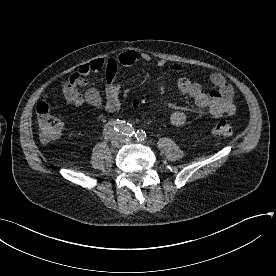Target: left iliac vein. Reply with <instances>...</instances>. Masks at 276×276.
<instances>
[{"instance_id":"obj_1","label":"left iliac vein","mask_w":276,"mask_h":276,"mask_svg":"<svg viewBox=\"0 0 276 276\" xmlns=\"http://www.w3.org/2000/svg\"><path fill=\"white\" fill-rule=\"evenodd\" d=\"M120 141L121 142H130V139L124 138L123 136H120Z\"/></svg>"}]
</instances>
